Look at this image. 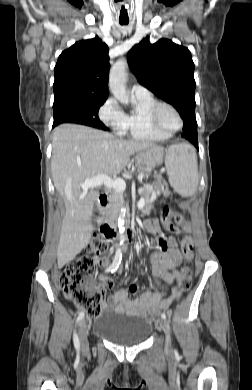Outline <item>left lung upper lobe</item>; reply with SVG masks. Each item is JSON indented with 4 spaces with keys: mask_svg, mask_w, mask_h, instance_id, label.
<instances>
[{
    "mask_svg": "<svg viewBox=\"0 0 252 390\" xmlns=\"http://www.w3.org/2000/svg\"><path fill=\"white\" fill-rule=\"evenodd\" d=\"M138 82L172 104L181 118H195L194 63L190 51L168 39L151 44L146 37L128 53Z\"/></svg>",
    "mask_w": 252,
    "mask_h": 390,
    "instance_id": "left-lung-upper-lobe-1",
    "label": "left lung upper lobe"
}]
</instances>
